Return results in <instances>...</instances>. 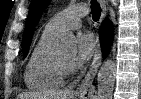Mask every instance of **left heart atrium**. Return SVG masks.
Returning <instances> with one entry per match:
<instances>
[{
  "instance_id": "39dd6f15",
  "label": "left heart atrium",
  "mask_w": 141,
  "mask_h": 99,
  "mask_svg": "<svg viewBox=\"0 0 141 99\" xmlns=\"http://www.w3.org/2000/svg\"><path fill=\"white\" fill-rule=\"evenodd\" d=\"M95 39L91 34H81L77 38L76 52L72 57L75 66H81L87 62L95 50Z\"/></svg>"
}]
</instances>
